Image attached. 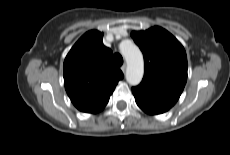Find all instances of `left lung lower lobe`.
I'll list each match as a JSON object with an SVG mask.
<instances>
[{
  "label": "left lung lower lobe",
  "instance_id": "1",
  "mask_svg": "<svg viewBox=\"0 0 230 155\" xmlns=\"http://www.w3.org/2000/svg\"><path fill=\"white\" fill-rule=\"evenodd\" d=\"M134 97L137 105L147 114L157 115V114L164 113L170 109V107L160 102L142 96H138L135 94Z\"/></svg>",
  "mask_w": 230,
  "mask_h": 155
}]
</instances>
